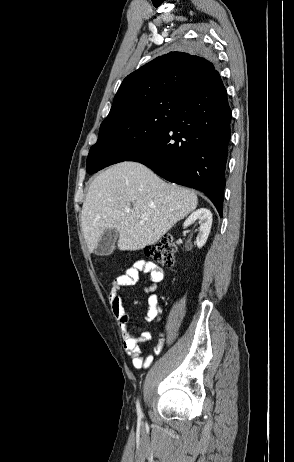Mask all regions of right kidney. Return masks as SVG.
Masks as SVG:
<instances>
[{"label":"right kidney","mask_w":294,"mask_h":462,"mask_svg":"<svg viewBox=\"0 0 294 462\" xmlns=\"http://www.w3.org/2000/svg\"><path fill=\"white\" fill-rule=\"evenodd\" d=\"M198 222L199 233L196 238V244L198 248H202L209 236L211 225H212V213L206 208H200L194 211L184 222L183 227L186 228L189 225Z\"/></svg>","instance_id":"1"}]
</instances>
